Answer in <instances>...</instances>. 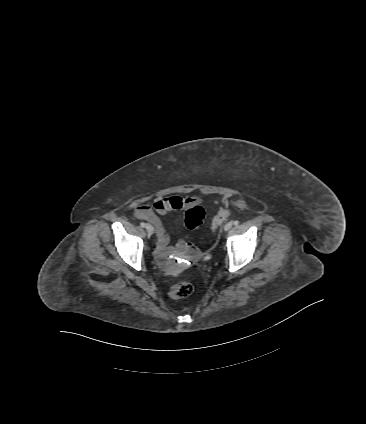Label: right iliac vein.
<instances>
[{
    "label": "right iliac vein",
    "instance_id": "right-iliac-vein-1",
    "mask_svg": "<svg viewBox=\"0 0 366 424\" xmlns=\"http://www.w3.org/2000/svg\"><path fill=\"white\" fill-rule=\"evenodd\" d=\"M146 230H147V232H148L149 235H152L153 234V231H154V228H153V226L151 224H147L146 225Z\"/></svg>",
    "mask_w": 366,
    "mask_h": 424
}]
</instances>
